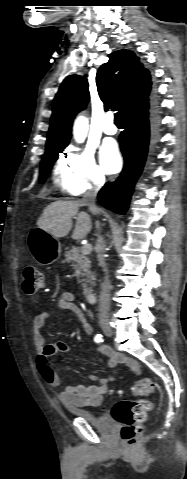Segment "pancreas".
I'll list each match as a JSON object with an SVG mask.
<instances>
[{"mask_svg": "<svg viewBox=\"0 0 187 479\" xmlns=\"http://www.w3.org/2000/svg\"><path fill=\"white\" fill-rule=\"evenodd\" d=\"M65 257L68 263H72L74 268H77L80 271V274L84 279H82V287L84 294L89 292L88 284L94 280V275L91 271L90 259L80 254V248L72 246L70 250L66 248Z\"/></svg>", "mask_w": 187, "mask_h": 479, "instance_id": "cf45deb5", "label": "pancreas"}]
</instances>
